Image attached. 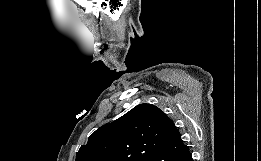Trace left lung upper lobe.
Returning a JSON list of instances; mask_svg holds the SVG:
<instances>
[{"instance_id": "obj_1", "label": "left lung upper lobe", "mask_w": 261, "mask_h": 161, "mask_svg": "<svg viewBox=\"0 0 261 161\" xmlns=\"http://www.w3.org/2000/svg\"><path fill=\"white\" fill-rule=\"evenodd\" d=\"M177 129L152 104H140L122 117L97 129L77 152L76 161H149L169 143Z\"/></svg>"}]
</instances>
